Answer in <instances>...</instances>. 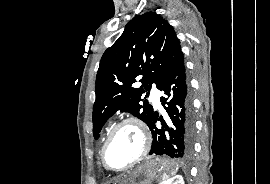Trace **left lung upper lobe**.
<instances>
[{
    "instance_id": "5c2ea615",
    "label": "left lung upper lobe",
    "mask_w": 270,
    "mask_h": 184,
    "mask_svg": "<svg viewBox=\"0 0 270 184\" xmlns=\"http://www.w3.org/2000/svg\"><path fill=\"white\" fill-rule=\"evenodd\" d=\"M181 52L173 27L155 12L134 17L117 41L103 54L96 77L93 106L95 139L104 123L115 112H129L149 125L153 107L140 105L151 84L160 85ZM136 79L142 86L134 88Z\"/></svg>"
}]
</instances>
